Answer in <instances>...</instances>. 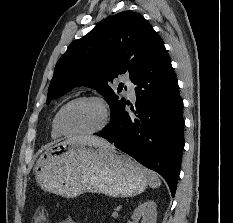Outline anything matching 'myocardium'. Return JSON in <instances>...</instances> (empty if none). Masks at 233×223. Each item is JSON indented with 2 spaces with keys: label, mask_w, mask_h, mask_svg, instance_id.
Here are the masks:
<instances>
[{
  "label": "myocardium",
  "mask_w": 233,
  "mask_h": 223,
  "mask_svg": "<svg viewBox=\"0 0 233 223\" xmlns=\"http://www.w3.org/2000/svg\"><path fill=\"white\" fill-rule=\"evenodd\" d=\"M80 101H93L96 102L100 105V107L102 108L103 114H104V122L103 124L96 130L94 131H90V132H82V133H72L67 131L63 125H62V116L63 113L65 112V110L71 106L72 104L76 103V102H80ZM111 121V115H110V111L108 108L107 103L105 102V100L100 97V96H96V95H82V96H78L75 97L71 100H69L67 103H65L57 112L55 118H54V127L56 129V131L63 136H68V137H89V136H93V135H97L101 132H103L110 124Z\"/></svg>",
  "instance_id": "obj_1"
}]
</instances>
